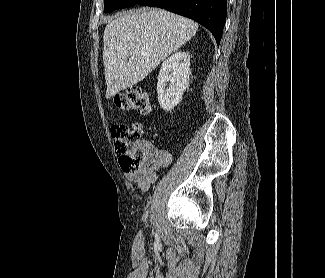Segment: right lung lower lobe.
<instances>
[{
	"mask_svg": "<svg viewBox=\"0 0 325 278\" xmlns=\"http://www.w3.org/2000/svg\"><path fill=\"white\" fill-rule=\"evenodd\" d=\"M136 4L164 8L205 26L219 45L226 21L227 0H138Z\"/></svg>",
	"mask_w": 325,
	"mask_h": 278,
	"instance_id": "98d812e1",
	"label": "right lung lower lobe"
}]
</instances>
